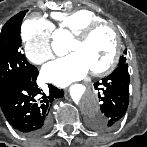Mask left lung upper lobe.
Segmentation results:
<instances>
[{
	"label": "left lung upper lobe",
	"mask_w": 147,
	"mask_h": 147,
	"mask_svg": "<svg viewBox=\"0 0 147 147\" xmlns=\"http://www.w3.org/2000/svg\"><path fill=\"white\" fill-rule=\"evenodd\" d=\"M124 54H127L126 50L124 51ZM123 64H127L125 56H121L118 66L123 65Z\"/></svg>",
	"instance_id": "1"
}]
</instances>
